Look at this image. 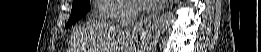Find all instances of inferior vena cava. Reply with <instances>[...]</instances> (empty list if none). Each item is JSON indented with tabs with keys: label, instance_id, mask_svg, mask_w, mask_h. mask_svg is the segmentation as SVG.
<instances>
[{
	"label": "inferior vena cava",
	"instance_id": "obj_1",
	"mask_svg": "<svg viewBox=\"0 0 261 52\" xmlns=\"http://www.w3.org/2000/svg\"><path fill=\"white\" fill-rule=\"evenodd\" d=\"M138 14L139 10L135 5L131 3H126L124 6V14L121 19L120 25L126 28L132 26L138 18Z\"/></svg>",
	"mask_w": 261,
	"mask_h": 52
}]
</instances>
